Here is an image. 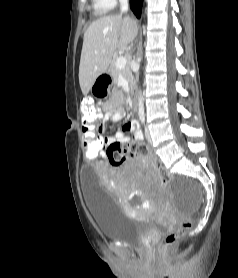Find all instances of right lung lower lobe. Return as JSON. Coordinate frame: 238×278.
I'll use <instances>...</instances> for the list:
<instances>
[{"label":"right lung lower lobe","mask_w":238,"mask_h":278,"mask_svg":"<svg viewBox=\"0 0 238 278\" xmlns=\"http://www.w3.org/2000/svg\"><path fill=\"white\" fill-rule=\"evenodd\" d=\"M143 0H130V6L137 18H140Z\"/></svg>","instance_id":"1"}]
</instances>
